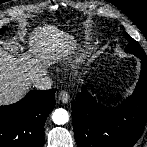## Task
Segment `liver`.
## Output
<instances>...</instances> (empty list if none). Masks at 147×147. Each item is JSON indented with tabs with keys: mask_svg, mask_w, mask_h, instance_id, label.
<instances>
[{
	"mask_svg": "<svg viewBox=\"0 0 147 147\" xmlns=\"http://www.w3.org/2000/svg\"><path fill=\"white\" fill-rule=\"evenodd\" d=\"M75 44L74 36L45 25L34 28L29 37L31 54L16 58L0 46V105L19 100L32 83L46 74V66L73 53Z\"/></svg>",
	"mask_w": 147,
	"mask_h": 147,
	"instance_id": "liver-1",
	"label": "liver"
}]
</instances>
